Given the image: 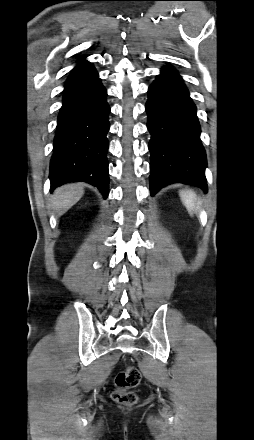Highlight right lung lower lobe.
Masks as SVG:
<instances>
[{
  "label": "right lung lower lobe",
  "instance_id": "98d812e1",
  "mask_svg": "<svg viewBox=\"0 0 254 440\" xmlns=\"http://www.w3.org/2000/svg\"><path fill=\"white\" fill-rule=\"evenodd\" d=\"M106 90L94 66H75L65 83L53 143L51 191L68 182L84 181L108 194V114Z\"/></svg>",
  "mask_w": 254,
  "mask_h": 440
}]
</instances>
